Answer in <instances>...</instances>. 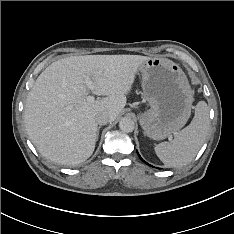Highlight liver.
I'll use <instances>...</instances> for the list:
<instances>
[{
  "label": "liver",
  "instance_id": "6515ba94",
  "mask_svg": "<svg viewBox=\"0 0 234 234\" xmlns=\"http://www.w3.org/2000/svg\"><path fill=\"white\" fill-rule=\"evenodd\" d=\"M140 55H85L59 59L37 78L28 93L24 123L32 143L50 161L76 165L88 159L98 138L95 120L107 112L114 121L126 105L139 66ZM91 91L105 98L87 101L85 79Z\"/></svg>",
  "mask_w": 234,
  "mask_h": 234
}]
</instances>
